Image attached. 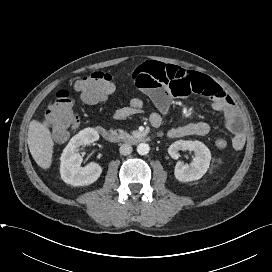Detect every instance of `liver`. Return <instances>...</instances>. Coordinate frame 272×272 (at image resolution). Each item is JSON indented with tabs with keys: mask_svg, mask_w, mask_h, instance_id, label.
I'll return each instance as SVG.
<instances>
[{
	"mask_svg": "<svg viewBox=\"0 0 272 272\" xmlns=\"http://www.w3.org/2000/svg\"><path fill=\"white\" fill-rule=\"evenodd\" d=\"M28 147L35 162L43 169L52 164L54 141L47 126L32 120L28 129Z\"/></svg>",
	"mask_w": 272,
	"mask_h": 272,
	"instance_id": "liver-1",
	"label": "liver"
}]
</instances>
